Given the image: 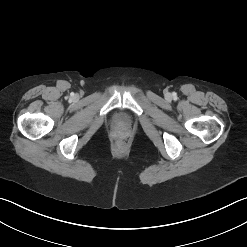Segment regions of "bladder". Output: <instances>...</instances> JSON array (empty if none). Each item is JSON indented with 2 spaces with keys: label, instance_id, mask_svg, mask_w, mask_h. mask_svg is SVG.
Returning a JSON list of instances; mask_svg holds the SVG:
<instances>
[{
  "label": "bladder",
  "instance_id": "bladder-1",
  "mask_svg": "<svg viewBox=\"0 0 247 247\" xmlns=\"http://www.w3.org/2000/svg\"><path fill=\"white\" fill-rule=\"evenodd\" d=\"M114 124L120 128L126 127L130 124V118L127 114L119 112L114 116Z\"/></svg>",
  "mask_w": 247,
  "mask_h": 247
}]
</instances>
